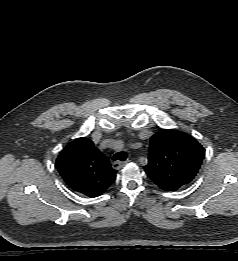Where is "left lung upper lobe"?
I'll return each mask as SVG.
<instances>
[{
  "mask_svg": "<svg viewBox=\"0 0 238 261\" xmlns=\"http://www.w3.org/2000/svg\"><path fill=\"white\" fill-rule=\"evenodd\" d=\"M203 158L204 148L196 139L163 129L150 139V155L144 170L161 189L175 191L193 180Z\"/></svg>",
  "mask_w": 238,
  "mask_h": 261,
  "instance_id": "5c2ea615",
  "label": "left lung upper lobe"
}]
</instances>
